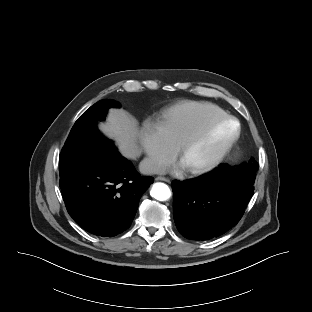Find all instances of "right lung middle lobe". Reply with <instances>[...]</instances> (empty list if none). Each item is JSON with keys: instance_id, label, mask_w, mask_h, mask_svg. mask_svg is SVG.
Segmentation results:
<instances>
[{"instance_id": "1", "label": "right lung middle lobe", "mask_w": 312, "mask_h": 312, "mask_svg": "<svg viewBox=\"0 0 312 312\" xmlns=\"http://www.w3.org/2000/svg\"><path fill=\"white\" fill-rule=\"evenodd\" d=\"M113 100H101L87 109L75 122L59 156L60 180L69 178L102 155L113 143L97 129L109 108L119 107Z\"/></svg>"}]
</instances>
